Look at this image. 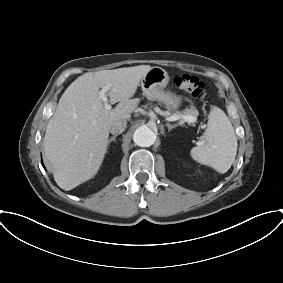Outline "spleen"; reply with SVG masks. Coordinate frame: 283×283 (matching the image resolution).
I'll return each instance as SVG.
<instances>
[{"label":"spleen","mask_w":283,"mask_h":283,"mask_svg":"<svg viewBox=\"0 0 283 283\" xmlns=\"http://www.w3.org/2000/svg\"><path fill=\"white\" fill-rule=\"evenodd\" d=\"M236 154L237 138L230 120L220 108L212 107L202 145L191 149V157L223 174L230 169Z\"/></svg>","instance_id":"3e777b00"}]
</instances>
